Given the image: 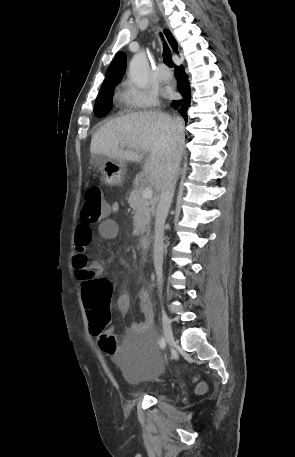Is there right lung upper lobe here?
Wrapping results in <instances>:
<instances>
[{
  "label": "right lung upper lobe",
  "mask_w": 295,
  "mask_h": 457,
  "mask_svg": "<svg viewBox=\"0 0 295 457\" xmlns=\"http://www.w3.org/2000/svg\"><path fill=\"white\" fill-rule=\"evenodd\" d=\"M164 33L172 49L177 52V42L172 34L168 30H164ZM125 68L126 55L123 52H118L107 70L101 89L114 88L115 85L118 84V82L121 80Z\"/></svg>",
  "instance_id": "obj_1"
}]
</instances>
